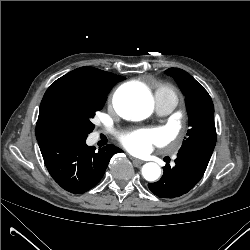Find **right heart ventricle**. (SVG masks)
Listing matches in <instances>:
<instances>
[{
  "instance_id": "obj_1",
  "label": "right heart ventricle",
  "mask_w": 250,
  "mask_h": 250,
  "mask_svg": "<svg viewBox=\"0 0 250 250\" xmlns=\"http://www.w3.org/2000/svg\"><path fill=\"white\" fill-rule=\"evenodd\" d=\"M154 99L157 102H171L175 106L178 103V94L173 86L166 83L158 84L154 89Z\"/></svg>"
}]
</instances>
